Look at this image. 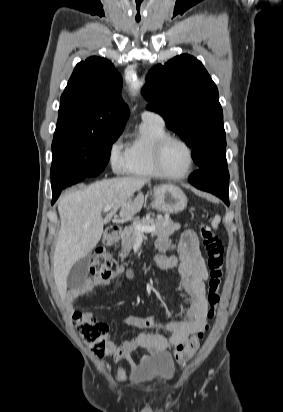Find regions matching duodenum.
Listing matches in <instances>:
<instances>
[{"instance_id":"410a0bca","label":"duodenum","mask_w":283,"mask_h":412,"mask_svg":"<svg viewBox=\"0 0 283 412\" xmlns=\"http://www.w3.org/2000/svg\"><path fill=\"white\" fill-rule=\"evenodd\" d=\"M120 228L117 226H110L108 227L105 235V242L107 245L112 246L114 245L119 237L120 234Z\"/></svg>"}]
</instances>
